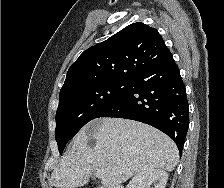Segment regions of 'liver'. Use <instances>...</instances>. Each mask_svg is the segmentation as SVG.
<instances>
[{
	"mask_svg": "<svg viewBox=\"0 0 224 188\" xmlns=\"http://www.w3.org/2000/svg\"><path fill=\"white\" fill-rule=\"evenodd\" d=\"M90 138L95 140L94 147L88 144ZM178 159L174 141L149 125L118 118L96 119L75 136L71 150L52 172L50 185L82 187L93 170H102V185L120 188L134 174L155 168L173 171Z\"/></svg>",
	"mask_w": 224,
	"mask_h": 188,
	"instance_id": "6515ba94",
	"label": "liver"
}]
</instances>
